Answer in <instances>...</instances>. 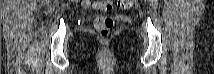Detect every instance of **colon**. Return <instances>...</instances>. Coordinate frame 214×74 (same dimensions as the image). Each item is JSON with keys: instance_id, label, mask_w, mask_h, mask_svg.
Segmentation results:
<instances>
[{"instance_id": "obj_1", "label": "colon", "mask_w": 214, "mask_h": 74, "mask_svg": "<svg viewBox=\"0 0 214 74\" xmlns=\"http://www.w3.org/2000/svg\"><path fill=\"white\" fill-rule=\"evenodd\" d=\"M134 4L133 0H119V1H84L83 6L88 8L89 6H93L96 9H100L102 11H112L117 6H120L124 9H130ZM115 26V21L112 17H103L100 18L97 22V28L99 29L102 35H107L111 30H113Z\"/></svg>"}]
</instances>
